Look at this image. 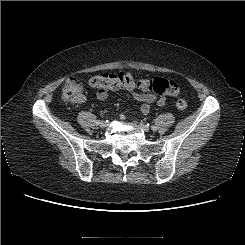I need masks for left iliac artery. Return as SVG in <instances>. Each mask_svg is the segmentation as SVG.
Wrapping results in <instances>:
<instances>
[{
	"instance_id": "44dca946",
	"label": "left iliac artery",
	"mask_w": 245,
	"mask_h": 245,
	"mask_svg": "<svg viewBox=\"0 0 245 245\" xmlns=\"http://www.w3.org/2000/svg\"><path fill=\"white\" fill-rule=\"evenodd\" d=\"M151 129H152L153 131H156V130H157V127H156V126H152Z\"/></svg>"
}]
</instances>
